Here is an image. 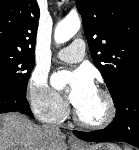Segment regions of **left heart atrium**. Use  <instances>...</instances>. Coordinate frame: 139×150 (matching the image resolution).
Segmentation results:
<instances>
[{
	"label": "left heart atrium",
	"instance_id": "1",
	"mask_svg": "<svg viewBox=\"0 0 139 150\" xmlns=\"http://www.w3.org/2000/svg\"><path fill=\"white\" fill-rule=\"evenodd\" d=\"M53 85L58 90L69 88L68 98L74 106L96 91L91 74L83 69L61 71L53 76Z\"/></svg>",
	"mask_w": 139,
	"mask_h": 150
}]
</instances>
